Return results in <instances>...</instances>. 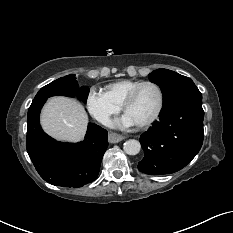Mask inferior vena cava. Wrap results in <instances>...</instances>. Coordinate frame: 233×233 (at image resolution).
Listing matches in <instances>:
<instances>
[{
    "label": "inferior vena cava",
    "mask_w": 233,
    "mask_h": 233,
    "mask_svg": "<svg viewBox=\"0 0 233 233\" xmlns=\"http://www.w3.org/2000/svg\"><path fill=\"white\" fill-rule=\"evenodd\" d=\"M102 124H104V125H110L111 124V121H110V119L109 118H104L103 120H102Z\"/></svg>",
    "instance_id": "1"
}]
</instances>
